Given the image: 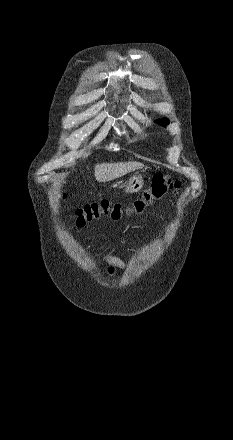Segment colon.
Here are the masks:
<instances>
[{
	"label": "colon",
	"mask_w": 233,
	"mask_h": 440,
	"mask_svg": "<svg viewBox=\"0 0 233 440\" xmlns=\"http://www.w3.org/2000/svg\"><path fill=\"white\" fill-rule=\"evenodd\" d=\"M181 186V181L157 172L152 176L150 187L142 193L141 198L136 200L132 206L123 208L120 204L111 203L108 200L86 204L75 209V224L79 227L84 226L86 223L102 216H109L117 220L124 213L128 215L141 214L154 200L161 198L169 190L180 189Z\"/></svg>",
	"instance_id": "1"
}]
</instances>
